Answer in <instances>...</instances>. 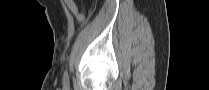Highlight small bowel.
Wrapping results in <instances>:
<instances>
[{
	"label": "small bowel",
	"instance_id": "1",
	"mask_svg": "<svg viewBox=\"0 0 209 90\" xmlns=\"http://www.w3.org/2000/svg\"><path fill=\"white\" fill-rule=\"evenodd\" d=\"M68 8L75 14L78 21L84 20V15L80 12L77 4L73 0H66Z\"/></svg>",
	"mask_w": 209,
	"mask_h": 90
}]
</instances>
